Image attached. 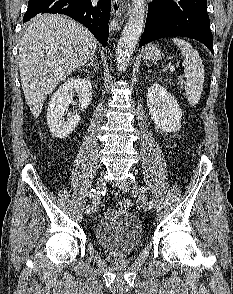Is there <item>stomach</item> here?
Here are the masks:
<instances>
[{"label": "stomach", "instance_id": "0dacf381", "mask_svg": "<svg viewBox=\"0 0 233 294\" xmlns=\"http://www.w3.org/2000/svg\"><path fill=\"white\" fill-rule=\"evenodd\" d=\"M162 57L161 50L156 45H148L143 50V59L146 62H155Z\"/></svg>", "mask_w": 233, "mask_h": 294}]
</instances>
